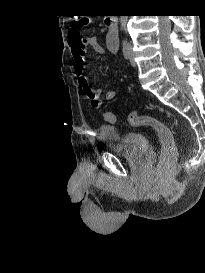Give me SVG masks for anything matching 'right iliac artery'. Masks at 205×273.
<instances>
[{
  "label": "right iliac artery",
  "instance_id": "1",
  "mask_svg": "<svg viewBox=\"0 0 205 273\" xmlns=\"http://www.w3.org/2000/svg\"><path fill=\"white\" fill-rule=\"evenodd\" d=\"M123 56L126 60L129 59L130 55H129V49L127 47V45L124 43L123 44Z\"/></svg>",
  "mask_w": 205,
  "mask_h": 273
}]
</instances>
